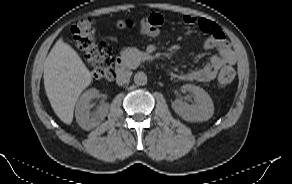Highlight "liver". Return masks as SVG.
Here are the masks:
<instances>
[{"instance_id": "liver-1", "label": "liver", "mask_w": 292, "mask_h": 184, "mask_svg": "<svg viewBox=\"0 0 292 184\" xmlns=\"http://www.w3.org/2000/svg\"><path fill=\"white\" fill-rule=\"evenodd\" d=\"M44 86L55 114L71 124L74 107L92 75L77 52L60 38L44 62Z\"/></svg>"}]
</instances>
